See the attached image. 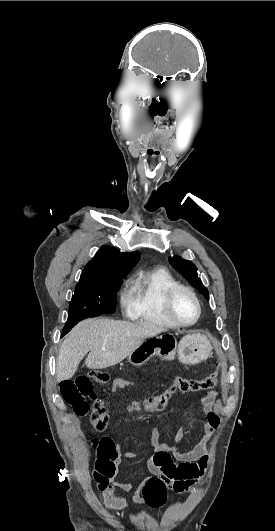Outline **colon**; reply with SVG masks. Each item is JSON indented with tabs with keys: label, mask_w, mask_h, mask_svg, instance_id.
<instances>
[{
	"label": "colon",
	"mask_w": 275,
	"mask_h": 531,
	"mask_svg": "<svg viewBox=\"0 0 275 531\" xmlns=\"http://www.w3.org/2000/svg\"><path fill=\"white\" fill-rule=\"evenodd\" d=\"M223 368L222 361L217 363V370L203 378H185L178 377L173 381H162L160 384V391H155L152 396L135 404V408L140 411L149 413L162 410L171 400L172 396L177 392L181 393H200L213 390L218 383V376ZM92 380L101 383L108 380V375L105 372H93L90 375H83L77 379L68 380L60 385V392L73 408L75 413L84 417L87 410L90 408L88 400L94 402L93 406V427L101 432L107 428L109 423V416L101 403V399L105 397H95ZM148 483L141 489L140 494L146 499L145 506L148 509H160L164 506L166 500V486L159 482L157 476L152 475Z\"/></svg>",
	"instance_id": "1"
}]
</instances>
